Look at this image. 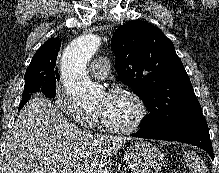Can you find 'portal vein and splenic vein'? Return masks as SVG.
Segmentation results:
<instances>
[{
	"instance_id": "1",
	"label": "portal vein and splenic vein",
	"mask_w": 219,
	"mask_h": 173,
	"mask_svg": "<svg viewBox=\"0 0 219 173\" xmlns=\"http://www.w3.org/2000/svg\"><path fill=\"white\" fill-rule=\"evenodd\" d=\"M60 173H69L68 171L62 170Z\"/></svg>"
}]
</instances>
